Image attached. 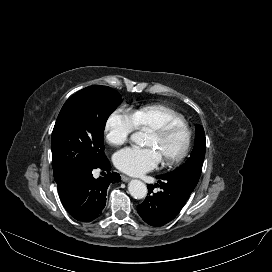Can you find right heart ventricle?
I'll return each mask as SVG.
<instances>
[{
	"instance_id": "e07e8e85",
	"label": "right heart ventricle",
	"mask_w": 272,
	"mask_h": 272,
	"mask_svg": "<svg viewBox=\"0 0 272 272\" xmlns=\"http://www.w3.org/2000/svg\"><path fill=\"white\" fill-rule=\"evenodd\" d=\"M131 114L139 130L152 131L168 124L185 123L180 113L161 104L145 105L132 110Z\"/></svg>"
}]
</instances>
